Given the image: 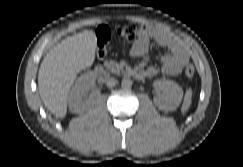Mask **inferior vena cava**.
I'll list each match as a JSON object with an SVG mask.
<instances>
[{
	"instance_id": "inferior-vena-cava-1",
	"label": "inferior vena cava",
	"mask_w": 243,
	"mask_h": 167,
	"mask_svg": "<svg viewBox=\"0 0 243 167\" xmlns=\"http://www.w3.org/2000/svg\"><path fill=\"white\" fill-rule=\"evenodd\" d=\"M106 84L108 87H114L117 84V80L114 78H109Z\"/></svg>"
}]
</instances>
